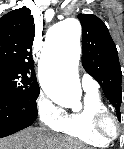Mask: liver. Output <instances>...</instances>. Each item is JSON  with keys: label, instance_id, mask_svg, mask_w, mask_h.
I'll list each match as a JSON object with an SVG mask.
<instances>
[{"label": "liver", "instance_id": "obj_1", "mask_svg": "<svg viewBox=\"0 0 124 149\" xmlns=\"http://www.w3.org/2000/svg\"><path fill=\"white\" fill-rule=\"evenodd\" d=\"M0 149H87L82 143L49 133L44 128H28L0 139Z\"/></svg>", "mask_w": 124, "mask_h": 149}]
</instances>
